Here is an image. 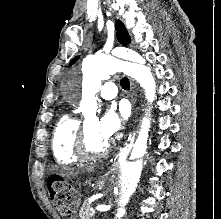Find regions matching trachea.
Instances as JSON below:
<instances>
[{"instance_id": "obj_1", "label": "trachea", "mask_w": 221, "mask_h": 219, "mask_svg": "<svg viewBox=\"0 0 221 219\" xmlns=\"http://www.w3.org/2000/svg\"><path fill=\"white\" fill-rule=\"evenodd\" d=\"M120 85L124 90H129L130 88V82L129 79L124 77L120 80Z\"/></svg>"}]
</instances>
